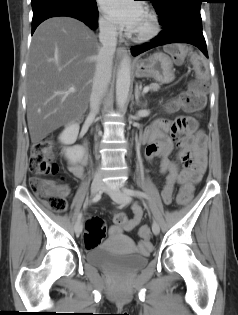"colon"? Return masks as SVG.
<instances>
[{"mask_svg": "<svg viewBox=\"0 0 238 315\" xmlns=\"http://www.w3.org/2000/svg\"><path fill=\"white\" fill-rule=\"evenodd\" d=\"M168 53L175 62L181 63L188 56L195 68L197 82L187 91L181 93L170 104L172 109L183 108L189 111H198L204 108L206 104L205 86L208 74L207 64L204 59L198 55H191L186 46L170 44L166 47ZM56 145L52 136H46L35 143L30 153V172L32 176L29 181L31 190L42 200L51 210L55 212H64L67 208L65 196L60 192L61 186L52 180L41 178L42 175L55 174L58 170L54 161ZM193 189L191 186L182 188L176 197V203L179 206L186 205L192 198ZM114 222L118 226H124L128 218L123 213H118L114 217ZM105 224L97 217L87 221L86 232L84 236L86 248L97 246L104 237ZM143 239L150 238V229L148 226H142L139 231Z\"/></svg>", "mask_w": 238, "mask_h": 315, "instance_id": "colon-1", "label": "colon"}]
</instances>
